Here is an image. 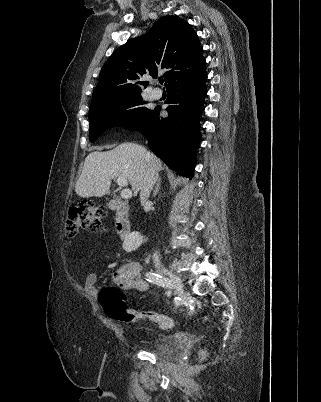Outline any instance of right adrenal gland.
I'll return each mask as SVG.
<instances>
[{
  "mask_svg": "<svg viewBox=\"0 0 321 402\" xmlns=\"http://www.w3.org/2000/svg\"><path fill=\"white\" fill-rule=\"evenodd\" d=\"M160 181H161V178H159L158 181H157L155 190L153 191V195H152L153 197H155V196L157 195V193L159 192V189H160Z\"/></svg>",
  "mask_w": 321,
  "mask_h": 402,
  "instance_id": "2a0ac1e0",
  "label": "right adrenal gland"
}]
</instances>
